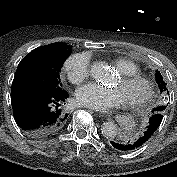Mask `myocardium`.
Segmentation results:
<instances>
[{"label":"myocardium","instance_id":"obj_1","mask_svg":"<svg viewBox=\"0 0 177 177\" xmlns=\"http://www.w3.org/2000/svg\"><path fill=\"white\" fill-rule=\"evenodd\" d=\"M120 79L122 82L125 83H140L145 88V93L141 98L126 101V104L129 107L134 109L140 108L151 100L154 94V84L149 78L142 74H132V75H121Z\"/></svg>","mask_w":177,"mask_h":177}]
</instances>
